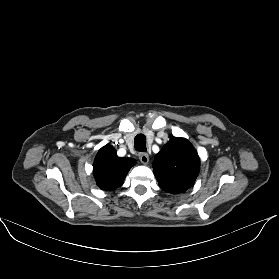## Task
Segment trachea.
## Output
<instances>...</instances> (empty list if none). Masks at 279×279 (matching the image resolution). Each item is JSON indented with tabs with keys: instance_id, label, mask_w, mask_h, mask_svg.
Returning a JSON list of instances; mask_svg holds the SVG:
<instances>
[{
	"instance_id": "obj_1",
	"label": "trachea",
	"mask_w": 279,
	"mask_h": 279,
	"mask_svg": "<svg viewBox=\"0 0 279 279\" xmlns=\"http://www.w3.org/2000/svg\"><path fill=\"white\" fill-rule=\"evenodd\" d=\"M134 148L139 152H145L146 148V136L144 134L136 135L134 139Z\"/></svg>"
}]
</instances>
